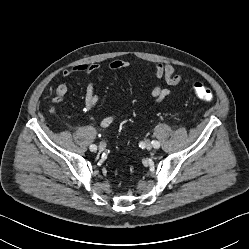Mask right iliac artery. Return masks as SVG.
Returning a JSON list of instances; mask_svg holds the SVG:
<instances>
[{"mask_svg":"<svg viewBox=\"0 0 249 249\" xmlns=\"http://www.w3.org/2000/svg\"><path fill=\"white\" fill-rule=\"evenodd\" d=\"M90 150L91 151H96L97 150V146L96 145H90Z\"/></svg>","mask_w":249,"mask_h":249,"instance_id":"82829eb1","label":"right iliac artery"}]
</instances>
